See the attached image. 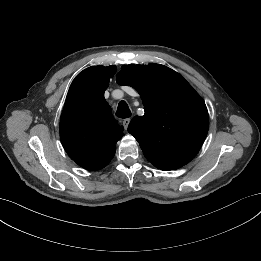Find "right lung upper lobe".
<instances>
[{"label": "right lung upper lobe", "instance_id": "1", "mask_svg": "<svg viewBox=\"0 0 261 261\" xmlns=\"http://www.w3.org/2000/svg\"><path fill=\"white\" fill-rule=\"evenodd\" d=\"M116 66H92L72 82L60 118V139L79 166L104 168L114 157L116 142L124 135L104 98Z\"/></svg>", "mask_w": 261, "mask_h": 261}]
</instances>
